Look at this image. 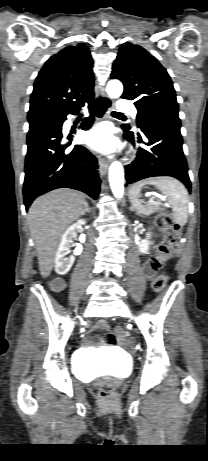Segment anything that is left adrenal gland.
<instances>
[{
    "label": "left adrenal gland",
    "instance_id": "left-adrenal-gland-1",
    "mask_svg": "<svg viewBox=\"0 0 208 461\" xmlns=\"http://www.w3.org/2000/svg\"><path fill=\"white\" fill-rule=\"evenodd\" d=\"M130 210H131V211H134V207H133V206H131V207H130Z\"/></svg>",
    "mask_w": 208,
    "mask_h": 461
}]
</instances>
